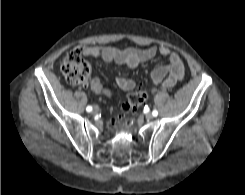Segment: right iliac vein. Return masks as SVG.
<instances>
[{
  "label": "right iliac vein",
  "mask_w": 245,
  "mask_h": 195,
  "mask_svg": "<svg viewBox=\"0 0 245 195\" xmlns=\"http://www.w3.org/2000/svg\"><path fill=\"white\" fill-rule=\"evenodd\" d=\"M98 111H99V108H98L97 106H95V107L93 108L92 113H93V114H97Z\"/></svg>",
  "instance_id": "63e3f726"
}]
</instances>
